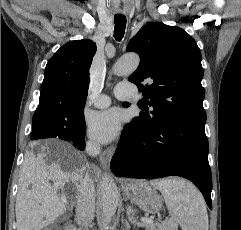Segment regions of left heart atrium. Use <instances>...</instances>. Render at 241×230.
Segmentation results:
<instances>
[{"label":"left heart atrium","instance_id":"1","mask_svg":"<svg viewBox=\"0 0 241 230\" xmlns=\"http://www.w3.org/2000/svg\"><path fill=\"white\" fill-rule=\"evenodd\" d=\"M121 127V115L118 109L110 108L95 113L89 124V135L100 143H108L116 138Z\"/></svg>","mask_w":241,"mask_h":230}]
</instances>
